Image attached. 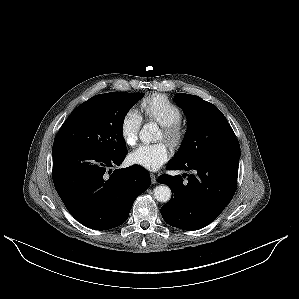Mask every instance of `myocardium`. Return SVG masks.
Wrapping results in <instances>:
<instances>
[{"mask_svg": "<svg viewBox=\"0 0 299 299\" xmlns=\"http://www.w3.org/2000/svg\"><path fill=\"white\" fill-rule=\"evenodd\" d=\"M162 130L164 138L172 146H178L185 136V129L180 122L162 125Z\"/></svg>", "mask_w": 299, "mask_h": 299, "instance_id": "obj_1", "label": "myocardium"}]
</instances>
